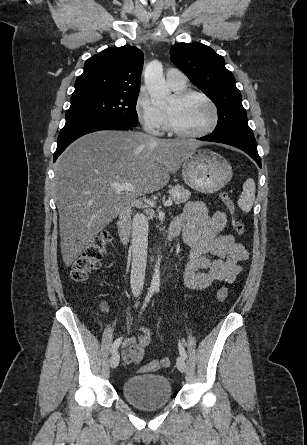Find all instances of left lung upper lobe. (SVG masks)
<instances>
[{"label":"left lung upper lobe","instance_id":"5c2ea615","mask_svg":"<svg viewBox=\"0 0 307 445\" xmlns=\"http://www.w3.org/2000/svg\"><path fill=\"white\" fill-rule=\"evenodd\" d=\"M170 55L174 65L215 103L219 119L212 134H253L235 78L221 55L199 42L177 43L171 47Z\"/></svg>","mask_w":307,"mask_h":445}]
</instances>
